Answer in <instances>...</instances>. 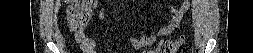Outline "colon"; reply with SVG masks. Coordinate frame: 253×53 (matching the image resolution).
<instances>
[{"label":"colon","instance_id":"colon-1","mask_svg":"<svg viewBox=\"0 0 253 53\" xmlns=\"http://www.w3.org/2000/svg\"><path fill=\"white\" fill-rule=\"evenodd\" d=\"M90 1H73V4L68 10V18L70 23V28L72 30H77L79 28L85 27L92 15V9L89 6ZM184 44V37L181 36L178 40L173 41L171 39L162 40L157 49L156 53H175ZM150 52V51H148Z\"/></svg>","mask_w":253,"mask_h":53}]
</instances>
